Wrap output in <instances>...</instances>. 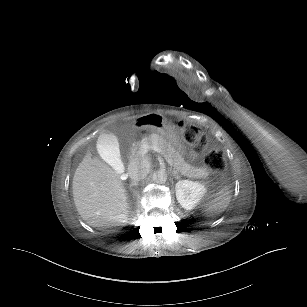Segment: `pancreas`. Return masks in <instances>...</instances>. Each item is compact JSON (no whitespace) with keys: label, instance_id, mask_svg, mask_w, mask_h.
<instances>
[{"label":"pancreas","instance_id":"cf45deb5","mask_svg":"<svg viewBox=\"0 0 307 307\" xmlns=\"http://www.w3.org/2000/svg\"><path fill=\"white\" fill-rule=\"evenodd\" d=\"M144 142L150 146L153 143H157V145L162 149V152L165 154L164 156L166 160H171L176 167L182 170V172L200 176L206 175V168L187 164L185 160L182 159L181 155L162 136L152 134L150 138H145Z\"/></svg>","mask_w":307,"mask_h":307}]
</instances>
